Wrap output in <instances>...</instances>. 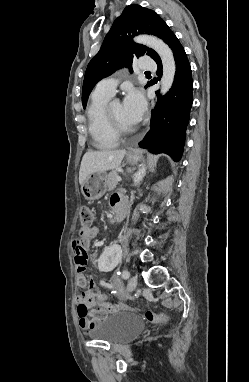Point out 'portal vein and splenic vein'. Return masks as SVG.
I'll return each mask as SVG.
<instances>
[{"instance_id": "obj_1", "label": "portal vein and splenic vein", "mask_w": 249, "mask_h": 382, "mask_svg": "<svg viewBox=\"0 0 249 382\" xmlns=\"http://www.w3.org/2000/svg\"><path fill=\"white\" fill-rule=\"evenodd\" d=\"M116 180H117L118 182H120L122 179H121L120 176H117V177H116Z\"/></svg>"}]
</instances>
